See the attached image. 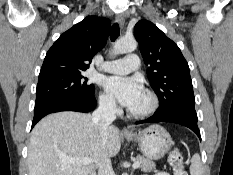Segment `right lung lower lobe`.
I'll list each match as a JSON object with an SVG mask.
<instances>
[{
	"label": "right lung lower lobe",
	"instance_id": "1",
	"mask_svg": "<svg viewBox=\"0 0 233 175\" xmlns=\"http://www.w3.org/2000/svg\"><path fill=\"white\" fill-rule=\"evenodd\" d=\"M96 107L95 98L88 100L52 99L35 104L32 128L44 116L60 111L90 112Z\"/></svg>",
	"mask_w": 233,
	"mask_h": 175
}]
</instances>
